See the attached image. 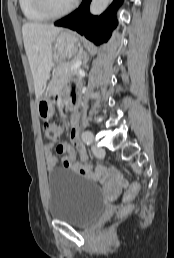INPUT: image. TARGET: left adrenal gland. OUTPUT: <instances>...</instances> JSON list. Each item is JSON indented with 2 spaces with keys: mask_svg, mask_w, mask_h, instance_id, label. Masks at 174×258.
Instances as JSON below:
<instances>
[{
  "mask_svg": "<svg viewBox=\"0 0 174 258\" xmlns=\"http://www.w3.org/2000/svg\"><path fill=\"white\" fill-rule=\"evenodd\" d=\"M82 58H83V65H86L88 61V57H86L85 55H82Z\"/></svg>",
  "mask_w": 174,
  "mask_h": 258,
  "instance_id": "left-adrenal-gland-1",
  "label": "left adrenal gland"
}]
</instances>
